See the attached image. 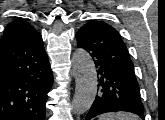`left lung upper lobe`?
Instances as JSON below:
<instances>
[{
  "instance_id": "left-lung-upper-lobe-1",
  "label": "left lung upper lobe",
  "mask_w": 165,
  "mask_h": 120,
  "mask_svg": "<svg viewBox=\"0 0 165 120\" xmlns=\"http://www.w3.org/2000/svg\"><path fill=\"white\" fill-rule=\"evenodd\" d=\"M105 26H107L108 28H110V29H112V30H114L115 32H116V30L113 28V27H111L110 25H108V24H106V23H104V22H102Z\"/></svg>"
}]
</instances>
